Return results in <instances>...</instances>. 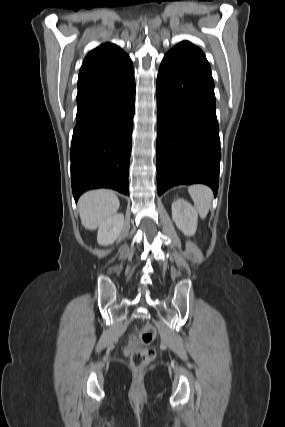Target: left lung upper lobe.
Listing matches in <instances>:
<instances>
[{"label":"left lung upper lobe","instance_id":"obj_1","mask_svg":"<svg viewBox=\"0 0 285 427\" xmlns=\"http://www.w3.org/2000/svg\"><path fill=\"white\" fill-rule=\"evenodd\" d=\"M166 55L179 58L212 77L210 65L204 53L198 47L192 45V43L189 41L180 42Z\"/></svg>","mask_w":285,"mask_h":427}]
</instances>
